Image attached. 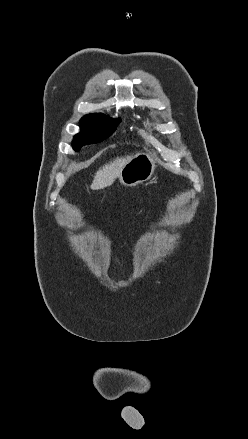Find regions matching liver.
Instances as JSON below:
<instances>
[{"label":"liver","instance_id":"1","mask_svg":"<svg viewBox=\"0 0 248 439\" xmlns=\"http://www.w3.org/2000/svg\"><path fill=\"white\" fill-rule=\"evenodd\" d=\"M131 158V156L117 157L113 162L111 161L110 163L105 164L95 173L93 182L90 186L91 189L99 190L111 185L114 180L119 177L122 168Z\"/></svg>","mask_w":248,"mask_h":439}]
</instances>
